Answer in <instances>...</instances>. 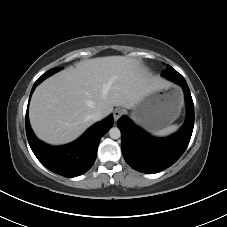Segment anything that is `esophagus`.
Returning <instances> with one entry per match:
<instances>
[{
    "label": "esophagus",
    "mask_w": 227,
    "mask_h": 227,
    "mask_svg": "<svg viewBox=\"0 0 227 227\" xmlns=\"http://www.w3.org/2000/svg\"><path fill=\"white\" fill-rule=\"evenodd\" d=\"M124 114V110L122 108L115 109L113 116L114 120L117 121Z\"/></svg>",
    "instance_id": "esophagus-1"
}]
</instances>
